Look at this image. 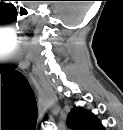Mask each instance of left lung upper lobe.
Here are the masks:
<instances>
[{
  "label": "left lung upper lobe",
  "instance_id": "5c2ea615",
  "mask_svg": "<svg viewBox=\"0 0 123 130\" xmlns=\"http://www.w3.org/2000/svg\"><path fill=\"white\" fill-rule=\"evenodd\" d=\"M67 125L74 130H102L103 126L91 113L81 107H74L68 115Z\"/></svg>",
  "mask_w": 123,
  "mask_h": 130
}]
</instances>
